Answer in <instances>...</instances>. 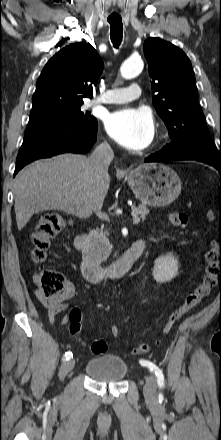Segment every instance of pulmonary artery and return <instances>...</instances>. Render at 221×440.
<instances>
[{
	"label": "pulmonary artery",
	"instance_id": "e3ab8cb5",
	"mask_svg": "<svg viewBox=\"0 0 221 440\" xmlns=\"http://www.w3.org/2000/svg\"><path fill=\"white\" fill-rule=\"evenodd\" d=\"M141 95V88L138 84H131L127 88H116L106 91L101 97L96 99L94 103H126L137 99Z\"/></svg>",
	"mask_w": 221,
	"mask_h": 440
}]
</instances>
